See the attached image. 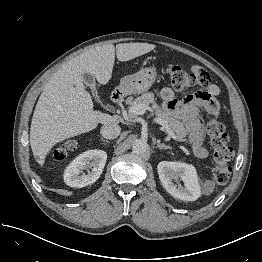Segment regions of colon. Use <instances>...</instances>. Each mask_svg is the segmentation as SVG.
<instances>
[{
	"mask_svg": "<svg viewBox=\"0 0 262 262\" xmlns=\"http://www.w3.org/2000/svg\"><path fill=\"white\" fill-rule=\"evenodd\" d=\"M170 83L176 91H184L208 77L206 70L200 68L198 73L190 72L180 66L173 65L168 69ZM207 133L210 137L214 150L216 166L213 170L215 181L224 184L231 174L229 162L234 156V151L228 144V135L224 126L218 120V114L211 112L208 114ZM75 148L73 142H67L56 148L54 156L57 160L65 159L70 151Z\"/></svg>",
	"mask_w": 262,
	"mask_h": 262,
	"instance_id": "5ec220e1",
	"label": "colon"
}]
</instances>
